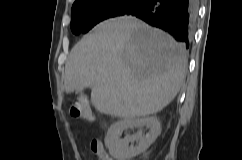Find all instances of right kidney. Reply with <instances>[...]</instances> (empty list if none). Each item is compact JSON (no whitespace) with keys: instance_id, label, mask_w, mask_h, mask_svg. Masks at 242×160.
<instances>
[{"instance_id":"ca27d5eb","label":"right kidney","mask_w":242,"mask_h":160,"mask_svg":"<svg viewBox=\"0 0 242 160\" xmlns=\"http://www.w3.org/2000/svg\"><path fill=\"white\" fill-rule=\"evenodd\" d=\"M146 126L150 131L143 135L139 131L136 135H126L121 139L124 130ZM161 133V124L157 117H143L134 119H123L110 126L105 137V146L112 157L117 160H130L144 152L156 140ZM137 142L135 146L129 143Z\"/></svg>"}]
</instances>
